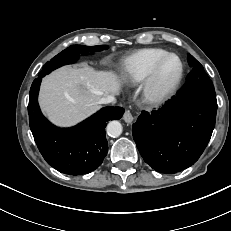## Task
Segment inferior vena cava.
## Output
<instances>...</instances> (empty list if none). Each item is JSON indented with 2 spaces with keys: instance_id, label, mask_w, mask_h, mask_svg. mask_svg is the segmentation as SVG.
Masks as SVG:
<instances>
[{
  "instance_id": "inferior-vena-cava-1",
  "label": "inferior vena cava",
  "mask_w": 231,
  "mask_h": 231,
  "mask_svg": "<svg viewBox=\"0 0 231 231\" xmlns=\"http://www.w3.org/2000/svg\"><path fill=\"white\" fill-rule=\"evenodd\" d=\"M115 102H116V99H115V97L112 96V95L103 96V97L99 100V104H109V103L114 104Z\"/></svg>"
}]
</instances>
